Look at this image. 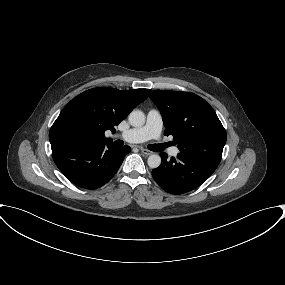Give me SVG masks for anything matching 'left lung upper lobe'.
Returning <instances> with one entry per match:
<instances>
[{"label": "left lung upper lobe", "mask_w": 285, "mask_h": 285, "mask_svg": "<svg viewBox=\"0 0 285 285\" xmlns=\"http://www.w3.org/2000/svg\"><path fill=\"white\" fill-rule=\"evenodd\" d=\"M149 97L162 114L164 134L173 136L180 153L220 163L226 131L209 103L189 92L155 90Z\"/></svg>", "instance_id": "1"}]
</instances>
